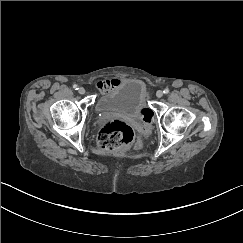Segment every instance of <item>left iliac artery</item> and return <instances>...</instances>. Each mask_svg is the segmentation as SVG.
<instances>
[{"label":"left iliac artery","instance_id":"left-iliac-artery-1","mask_svg":"<svg viewBox=\"0 0 243 243\" xmlns=\"http://www.w3.org/2000/svg\"><path fill=\"white\" fill-rule=\"evenodd\" d=\"M163 93H164V94H168V93H169V89H167V88L164 89Z\"/></svg>","mask_w":243,"mask_h":243}]
</instances>
